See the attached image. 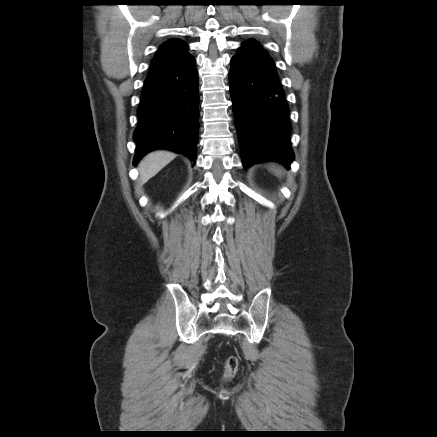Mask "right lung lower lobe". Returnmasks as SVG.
Segmentation results:
<instances>
[{
  "label": "right lung lower lobe",
  "mask_w": 437,
  "mask_h": 437,
  "mask_svg": "<svg viewBox=\"0 0 437 437\" xmlns=\"http://www.w3.org/2000/svg\"><path fill=\"white\" fill-rule=\"evenodd\" d=\"M191 55L148 74L137 110L134 165L149 151L169 149L195 162L199 88Z\"/></svg>",
  "instance_id": "obj_1"
}]
</instances>
